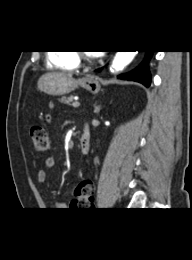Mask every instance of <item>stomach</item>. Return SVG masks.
<instances>
[{"label": "stomach", "instance_id": "stomach-1", "mask_svg": "<svg viewBox=\"0 0 192 260\" xmlns=\"http://www.w3.org/2000/svg\"><path fill=\"white\" fill-rule=\"evenodd\" d=\"M78 87H82L91 93H97L100 90V83L97 78L92 76L76 80L60 73H48L38 80V89L52 96L68 94Z\"/></svg>", "mask_w": 192, "mask_h": 260}]
</instances>
